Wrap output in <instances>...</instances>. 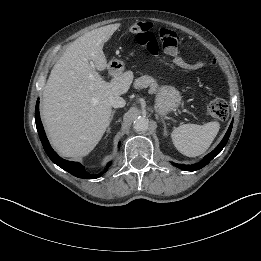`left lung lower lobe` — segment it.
I'll list each match as a JSON object with an SVG mask.
<instances>
[{
	"mask_svg": "<svg viewBox=\"0 0 261 261\" xmlns=\"http://www.w3.org/2000/svg\"><path fill=\"white\" fill-rule=\"evenodd\" d=\"M232 126H233V121L231 122V124H230V126L228 128V131H227L226 135L224 136V138L222 139V141L220 142V144L211 153L206 155L204 157V159L200 163H197V164H194V165H183V164H175V163H173V165L178 167V168H180V169H182V170H185V171H195V170H199V169L203 168L217 154H219L221 152V150L224 148V146L226 145V143H227V141L229 139V136H230V133H231V130H232Z\"/></svg>",
	"mask_w": 261,
	"mask_h": 261,
	"instance_id": "obj_1",
	"label": "left lung lower lobe"
}]
</instances>
